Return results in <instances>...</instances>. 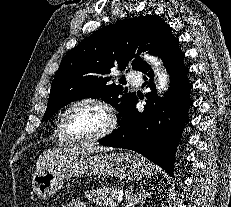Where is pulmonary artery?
I'll use <instances>...</instances> for the list:
<instances>
[{
	"instance_id": "e3ab8cb5",
	"label": "pulmonary artery",
	"mask_w": 231,
	"mask_h": 207,
	"mask_svg": "<svg viewBox=\"0 0 231 207\" xmlns=\"http://www.w3.org/2000/svg\"><path fill=\"white\" fill-rule=\"evenodd\" d=\"M127 80L129 81L130 84L134 86H138L142 82L141 75L136 72V71H129L126 75Z\"/></svg>"
}]
</instances>
